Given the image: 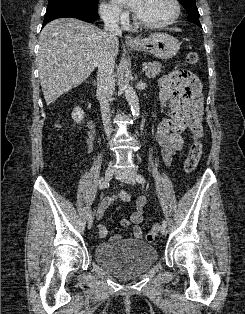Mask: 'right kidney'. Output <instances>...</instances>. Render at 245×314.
I'll return each mask as SVG.
<instances>
[{"instance_id": "obj_1", "label": "right kidney", "mask_w": 245, "mask_h": 314, "mask_svg": "<svg viewBox=\"0 0 245 314\" xmlns=\"http://www.w3.org/2000/svg\"><path fill=\"white\" fill-rule=\"evenodd\" d=\"M72 118L77 123H81L84 118V112L81 110L80 107H76L72 112Z\"/></svg>"}]
</instances>
